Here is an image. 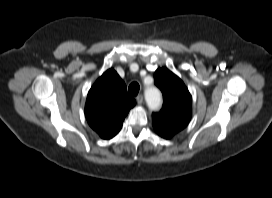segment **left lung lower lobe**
Instances as JSON below:
<instances>
[{"label": "left lung lower lobe", "mask_w": 272, "mask_h": 198, "mask_svg": "<svg viewBox=\"0 0 272 198\" xmlns=\"http://www.w3.org/2000/svg\"><path fill=\"white\" fill-rule=\"evenodd\" d=\"M159 135L162 136L163 138H166V139L169 138V137H166V136H164V135H162V134H159Z\"/></svg>", "instance_id": "1"}]
</instances>
